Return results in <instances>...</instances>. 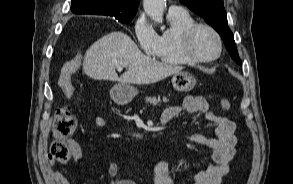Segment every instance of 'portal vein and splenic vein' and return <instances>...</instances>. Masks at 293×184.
Segmentation results:
<instances>
[{"label":"portal vein and splenic vein","mask_w":293,"mask_h":184,"mask_svg":"<svg viewBox=\"0 0 293 184\" xmlns=\"http://www.w3.org/2000/svg\"><path fill=\"white\" fill-rule=\"evenodd\" d=\"M117 69H118L119 71H122V70H123V67H122V66H119V67H117Z\"/></svg>","instance_id":"obj_1"}]
</instances>
